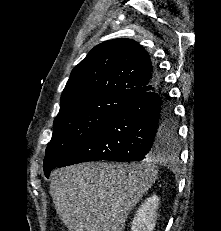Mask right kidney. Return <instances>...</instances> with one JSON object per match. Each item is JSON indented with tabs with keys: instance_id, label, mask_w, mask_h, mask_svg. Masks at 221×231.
Segmentation results:
<instances>
[{
	"instance_id": "obj_1",
	"label": "right kidney",
	"mask_w": 221,
	"mask_h": 231,
	"mask_svg": "<svg viewBox=\"0 0 221 231\" xmlns=\"http://www.w3.org/2000/svg\"><path fill=\"white\" fill-rule=\"evenodd\" d=\"M159 198L153 195L141 205L132 221V231H153L157 220Z\"/></svg>"
}]
</instances>
